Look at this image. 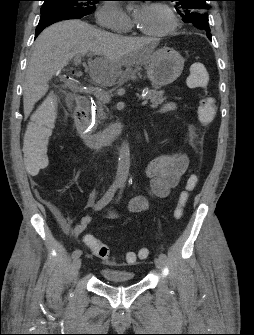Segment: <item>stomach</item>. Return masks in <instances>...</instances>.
<instances>
[{"label": "stomach", "instance_id": "1", "mask_svg": "<svg viewBox=\"0 0 254 335\" xmlns=\"http://www.w3.org/2000/svg\"><path fill=\"white\" fill-rule=\"evenodd\" d=\"M184 61L177 51L169 47L153 51L146 65L147 77L153 87H164L178 79L183 71Z\"/></svg>", "mask_w": 254, "mask_h": 335}]
</instances>
